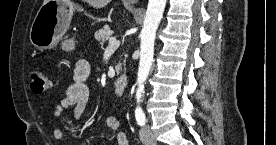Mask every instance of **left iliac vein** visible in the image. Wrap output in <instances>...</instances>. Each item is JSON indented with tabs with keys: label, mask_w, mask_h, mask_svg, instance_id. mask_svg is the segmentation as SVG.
Here are the masks:
<instances>
[{
	"label": "left iliac vein",
	"mask_w": 276,
	"mask_h": 145,
	"mask_svg": "<svg viewBox=\"0 0 276 145\" xmlns=\"http://www.w3.org/2000/svg\"><path fill=\"white\" fill-rule=\"evenodd\" d=\"M139 135L143 144L154 145L156 143L152 130L148 125L141 127Z\"/></svg>",
	"instance_id": "1"
}]
</instances>
